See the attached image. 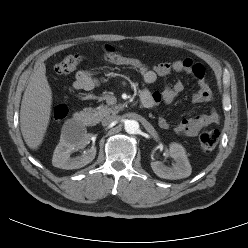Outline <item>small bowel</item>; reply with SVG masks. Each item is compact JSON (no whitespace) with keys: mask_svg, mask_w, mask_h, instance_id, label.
Returning a JSON list of instances; mask_svg holds the SVG:
<instances>
[{"mask_svg":"<svg viewBox=\"0 0 248 248\" xmlns=\"http://www.w3.org/2000/svg\"><path fill=\"white\" fill-rule=\"evenodd\" d=\"M172 72L187 73L192 75L199 86V90L193 94L192 101L194 103H207L213 101V92L205 79V68L202 64L194 62L190 59L176 60L174 62H161L151 67L139 70V73L146 84H153L159 77H164ZM98 78L91 70L82 69L75 75L73 88L76 91H89L98 85ZM184 90V84L181 81H176L171 86H166L161 92H151L148 89L142 91L141 95L150 96L152 106L163 102L169 104L173 102L178 95ZM220 120V115L216 110H212L207 114H203L193 118L181 120L175 125L174 131L179 135L196 136L201 130L217 124ZM158 125L162 129H169V122L161 117L158 120Z\"/></svg>","mask_w":248,"mask_h":248,"instance_id":"obj_1","label":"small bowel"}]
</instances>
